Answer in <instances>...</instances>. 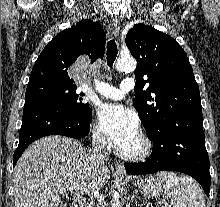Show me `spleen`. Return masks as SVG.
Segmentation results:
<instances>
[{
  "mask_svg": "<svg viewBox=\"0 0 220 207\" xmlns=\"http://www.w3.org/2000/svg\"><path fill=\"white\" fill-rule=\"evenodd\" d=\"M158 179L172 207H205L202 189L190 177L172 172H160Z\"/></svg>",
  "mask_w": 220,
  "mask_h": 207,
  "instance_id": "1",
  "label": "spleen"
}]
</instances>
